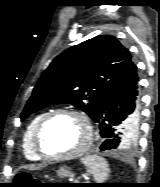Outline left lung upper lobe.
Masks as SVG:
<instances>
[{
    "label": "left lung upper lobe",
    "mask_w": 160,
    "mask_h": 187,
    "mask_svg": "<svg viewBox=\"0 0 160 187\" xmlns=\"http://www.w3.org/2000/svg\"><path fill=\"white\" fill-rule=\"evenodd\" d=\"M134 63L127 48L114 36L100 35L71 47L57 56L44 71L21 114L52 104H73L95 119L104 98L127 79ZM138 125L121 143L135 140Z\"/></svg>",
    "instance_id": "1"
}]
</instances>
